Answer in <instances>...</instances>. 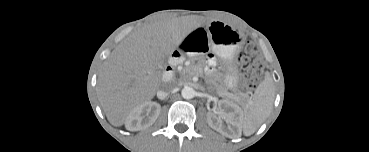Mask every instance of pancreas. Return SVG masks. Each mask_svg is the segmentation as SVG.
Segmentation results:
<instances>
[{
	"instance_id": "cf45deb5",
	"label": "pancreas",
	"mask_w": 369,
	"mask_h": 152,
	"mask_svg": "<svg viewBox=\"0 0 369 152\" xmlns=\"http://www.w3.org/2000/svg\"><path fill=\"white\" fill-rule=\"evenodd\" d=\"M193 73L194 74H198V75H202L203 74L202 69L199 68V67L197 69H194L193 70ZM216 87H217L216 88L217 94H219L220 96L225 97L227 100H236V101H239L241 98L246 97L243 94H240V95L236 96V95H233V94L229 93L228 91H226L225 89H223L220 86H217L216 85Z\"/></svg>"
}]
</instances>
